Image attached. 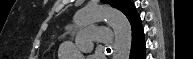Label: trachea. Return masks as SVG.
Listing matches in <instances>:
<instances>
[{
	"label": "trachea",
	"mask_w": 193,
	"mask_h": 59,
	"mask_svg": "<svg viewBox=\"0 0 193 59\" xmlns=\"http://www.w3.org/2000/svg\"><path fill=\"white\" fill-rule=\"evenodd\" d=\"M107 51H111V49H110V48H107Z\"/></svg>",
	"instance_id": "1"
}]
</instances>
